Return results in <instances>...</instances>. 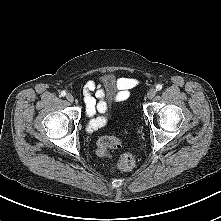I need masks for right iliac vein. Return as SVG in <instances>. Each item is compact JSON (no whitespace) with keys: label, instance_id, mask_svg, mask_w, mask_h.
I'll use <instances>...</instances> for the list:
<instances>
[{"label":"right iliac vein","instance_id":"63e3f726","mask_svg":"<svg viewBox=\"0 0 221 221\" xmlns=\"http://www.w3.org/2000/svg\"><path fill=\"white\" fill-rule=\"evenodd\" d=\"M66 99L69 101V102H73L74 101V96L72 94H67L66 95Z\"/></svg>","mask_w":221,"mask_h":221}]
</instances>
